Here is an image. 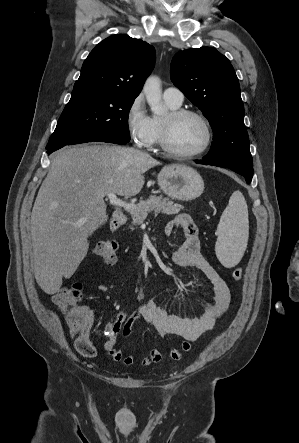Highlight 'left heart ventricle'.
<instances>
[{"label":"left heart ventricle","instance_id":"obj_1","mask_svg":"<svg viewBox=\"0 0 299 443\" xmlns=\"http://www.w3.org/2000/svg\"><path fill=\"white\" fill-rule=\"evenodd\" d=\"M164 118H167V115ZM205 139V127L197 117L186 116L171 125L169 144L176 151H196L203 145Z\"/></svg>","mask_w":299,"mask_h":443}]
</instances>
